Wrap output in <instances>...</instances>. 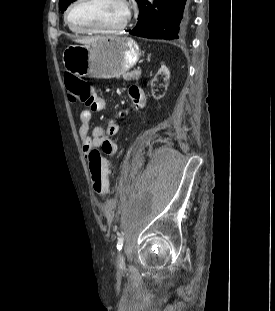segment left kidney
<instances>
[{"instance_id": "1", "label": "left kidney", "mask_w": 275, "mask_h": 311, "mask_svg": "<svg viewBox=\"0 0 275 311\" xmlns=\"http://www.w3.org/2000/svg\"><path fill=\"white\" fill-rule=\"evenodd\" d=\"M160 74V75H159ZM157 75H159L160 78V82H152V89H168V84H169V77H170V71L169 69L165 66L162 65L161 68L159 69ZM157 75L154 77L153 81L157 80ZM153 97L158 100L160 99L162 96L159 95H155V93L153 92Z\"/></svg>"}]
</instances>
